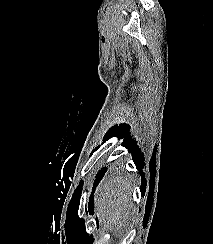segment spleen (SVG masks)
<instances>
[{
	"instance_id": "3e777b00",
	"label": "spleen",
	"mask_w": 213,
	"mask_h": 244,
	"mask_svg": "<svg viewBox=\"0 0 213 244\" xmlns=\"http://www.w3.org/2000/svg\"><path fill=\"white\" fill-rule=\"evenodd\" d=\"M132 183L130 179L111 176L105 178L95 195L94 209L99 232L120 233L132 214Z\"/></svg>"
}]
</instances>
